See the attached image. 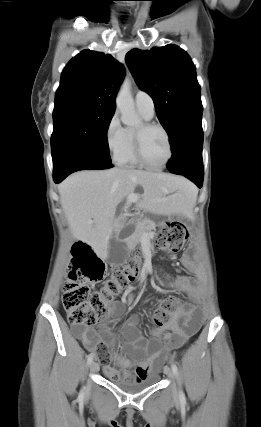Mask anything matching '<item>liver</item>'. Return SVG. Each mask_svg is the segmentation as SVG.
<instances>
[{
    "label": "liver",
    "instance_id": "1",
    "mask_svg": "<svg viewBox=\"0 0 261 427\" xmlns=\"http://www.w3.org/2000/svg\"><path fill=\"white\" fill-rule=\"evenodd\" d=\"M138 185L144 193L137 206L145 212L187 214L194 207L197 191L191 182L180 176L123 168L79 171L58 186L73 237L87 243L100 258L106 259L113 230L122 227L128 216L125 211L116 218V207L134 193Z\"/></svg>",
    "mask_w": 261,
    "mask_h": 427
}]
</instances>
